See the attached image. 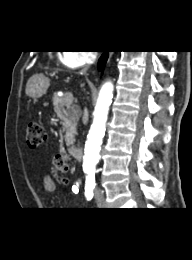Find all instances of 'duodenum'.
I'll use <instances>...</instances> for the list:
<instances>
[{
	"label": "duodenum",
	"instance_id": "obj_1",
	"mask_svg": "<svg viewBox=\"0 0 192 260\" xmlns=\"http://www.w3.org/2000/svg\"><path fill=\"white\" fill-rule=\"evenodd\" d=\"M70 155L76 160L81 161L83 157V149L80 146H72L69 150Z\"/></svg>",
	"mask_w": 192,
	"mask_h": 260
}]
</instances>
